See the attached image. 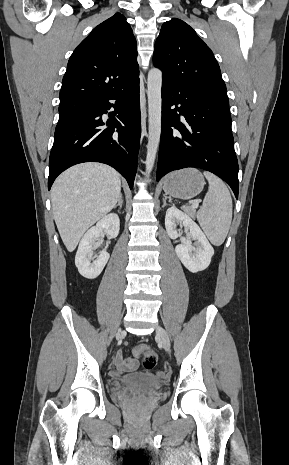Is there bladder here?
Masks as SVG:
<instances>
[{"label":"bladder","mask_w":289,"mask_h":465,"mask_svg":"<svg viewBox=\"0 0 289 465\" xmlns=\"http://www.w3.org/2000/svg\"><path fill=\"white\" fill-rule=\"evenodd\" d=\"M125 386H136L153 393H159L164 390V383L160 379L152 375L141 373H133L123 376L119 380L117 387L122 388Z\"/></svg>","instance_id":"obj_1"}]
</instances>
